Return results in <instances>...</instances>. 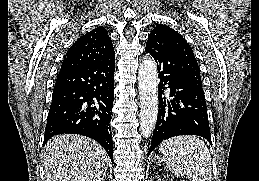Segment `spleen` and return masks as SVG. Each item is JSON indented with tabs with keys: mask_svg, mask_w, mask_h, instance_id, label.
<instances>
[{
	"mask_svg": "<svg viewBox=\"0 0 259 181\" xmlns=\"http://www.w3.org/2000/svg\"><path fill=\"white\" fill-rule=\"evenodd\" d=\"M167 168L192 181H212V164L205 143L196 136H176L159 146Z\"/></svg>",
	"mask_w": 259,
	"mask_h": 181,
	"instance_id": "3e777b00",
	"label": "spleen"
}]
</instances>
